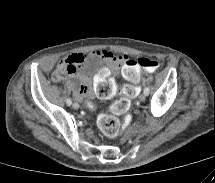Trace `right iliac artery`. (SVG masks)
Masks as SVG:
<instances>
[{
    "mask_svg": "<svg viewBox=\"0 0 215 183\" xmlns=\"http://www.w3.org/2000/svg\"><path fill=\"white\" fill-rule=\"evenodd\" d=\"M66 104H67L68 106H70V105L72 104L71 99H67V100H66Z\"/></svg>",
    "mask_w": 215,
    "mask_h": 183,
    "instance_id": "obj_1",
    "label": "right iliac artery"
}]
</instances>
